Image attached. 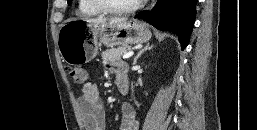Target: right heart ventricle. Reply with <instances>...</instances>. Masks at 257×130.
<instances>
[{"instance_id":"right-heart-ventricle-1","label":"right heart ventricle","mask_w":257,"mask_h":130,"mask_svg":"<svg viewBox=\"0 0 257 130\" xmlns=\"http://www.w3.org/2000/svg\"><path fill=\"white\" fill-rule=\"evenodd\" d=\"M100 13L89 2V0H78L77 14L80 16H96Z\"/></svg>"}]
</instances>
